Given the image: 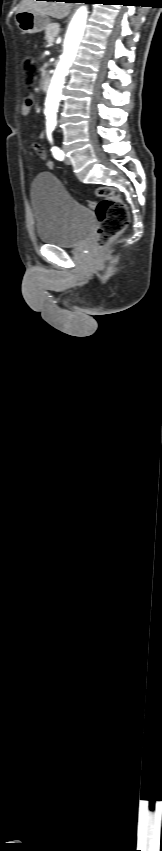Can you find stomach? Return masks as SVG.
I'll return each instance as SVG.
<instances>
[{
  "label": "stomach",
  "mask_w": 162,
  "mask_h": 851,
  "mask_svg": "<svg viewBox=\"0 0 162 851\" xmlns=\"http://www.w3.org/2000/svg\"><path fill=\"white\" fill-rule=\"evenodd\" d=\"M15 21L20 31L24 34L41 32L49 24V18L47 16L30 11L17 12Z\"/></svg>",
  "instance_id": "stomach-1"
}]
</instances>
